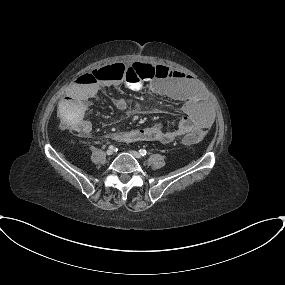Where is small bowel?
<instances>
[{"label": "small bowel", "instance_id": "obj_1", "mask_svg": "<svg viewBox=\"0 0 285 285\" xmlns=\"http://www.w3.org/2000/svg\"><path fill=\"white\" fill-rule=\"evenodd\" d=\"M117 74L91 84L80 83L75 80L68 89V95L58 105V114L61 119L74 120L80 118V132L84 135L91 133L93 125L90 121H82L89 108L88 101L93 98L101 87L116 88L125 83L132 91H139L143 84L139 78L122 64ZM149 88L156 94H162L173 101L180 103L184 117L179 124L169 129L164 123L130 131L113 133L110 139L117 143H136L156 141L164 144L182 139L193 130L202 133L211 126L212 117L208 101L199 89L195 80L175 71L166 79L153 80ZM126 106H131L128 98L121 99Z\"/></svg>", "mask_w": 285, "mask_h": 285}]
</instances>
